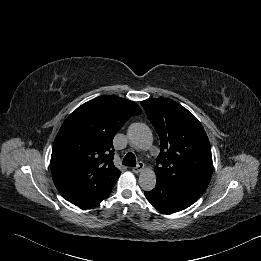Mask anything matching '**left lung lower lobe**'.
I'll return each mask as SVG.
<instances>
[{"label":"left lung lower lobe","instance_id":"obj_1","mask_svg":"<svg viewBox=\"0 0 261 261\" xmlns=\"http://www.w3.org/2000/svg\"><path fill=\"white\" fill-rule=\"evenodd\" d=\"M148 201L159 211L172 213L186 209L196 202L202 193L178 186L157 181L151 191H145Z\"/></svg>","mask_w":261,"mask_h":261}]
</instances>
